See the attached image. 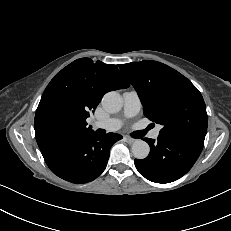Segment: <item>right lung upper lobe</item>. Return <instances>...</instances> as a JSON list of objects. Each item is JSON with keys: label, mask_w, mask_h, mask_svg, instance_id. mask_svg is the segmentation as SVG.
Returning <instances> with one entry per match:
<instances>
[{"label": "right lung upper lobe", "mask_w": 231, "mask_h": 231, "mask_svg": "<svg viewBox=\"0 0 231 231\" xmlns=\"http://www.w3.org/2000/svg\"><path fill=\"white\" fill-rule=\"evenodd\" d=\"M129 83L115 65L81 58L63 68L46 87L36 110L34 128L39 148L91 132L86 119L105 93Z\"/></svg>", "instance_id": "obj_1"}]
</instances>
